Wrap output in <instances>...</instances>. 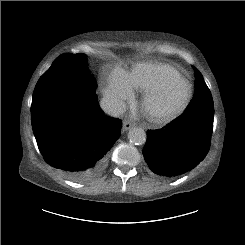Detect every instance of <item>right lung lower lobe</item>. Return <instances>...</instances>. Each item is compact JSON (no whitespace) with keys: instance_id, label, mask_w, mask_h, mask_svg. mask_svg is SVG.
I'll return each instance as SVG.
<instances>
[{"instance_id":"obj_1","label":"right lung lower lobe","mask_w":245,"mask_h":245,"mask_svg":"<svg viewBox=\"0 0 245 245\" xmlns=\"http://www.w3.org/2000/svg\"><path fill=\"white\" fill-rule=\"evenodd\" d=\"M31 111L38 148L50 166L76 182L104 171L122 123L101 112L94 92L57 96Z\"/></svg>"}]
</instances>
